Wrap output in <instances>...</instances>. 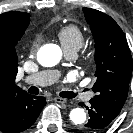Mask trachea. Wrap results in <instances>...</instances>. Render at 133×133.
I'll return each instance as SVG.
<instances>
[{
	"label": "trachea",
	"instance_id": "3493384b",
	"mask_svg": "<svg viewBox=\"0 0 133 133\" xmlns=\"http://www.w3.org/2000/svg\"><path fill=\"white\" fill-rule=\"evenodd\" d=\"M30 93L38 94L37 88L36 87L30 88ZM60 96L64 98H74L76 97V94L70 91H63L60 93Z\"/></svg>",
	"mask_w": 133,
	"mask_h": 133
}]
</instances>
